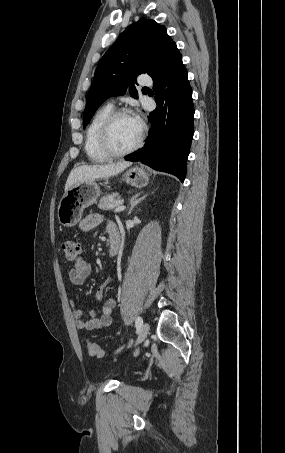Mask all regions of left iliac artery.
Returning <instances> with one entry per match:
<instances>
[{"label":"left iliac artery","instance_id":"44dca946","mask_svg":"<svg viewBox=\"0 0 285 453\" xmlns=\"http://www.w3.org/2000/svg\"><path fill=\"white\" fill-rule=\"evenodd\" d=\"M142 324H143V319H142L140 316H138V317L136 318L135 325H136V327H140V326H142ZM121 348H122V347H121ZM121 348H120V349H121ZM120 349H118L117 351H119Z\"/></svg>","mask_w":285,"mask_h":453}]
</instances>
